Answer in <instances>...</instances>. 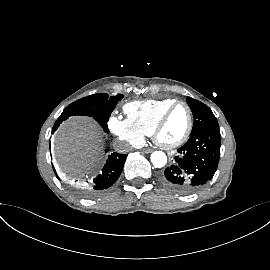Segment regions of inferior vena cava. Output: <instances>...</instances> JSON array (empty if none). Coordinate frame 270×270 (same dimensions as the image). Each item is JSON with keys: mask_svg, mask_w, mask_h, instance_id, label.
<instances>
[{"mask_svg": "<svg viewBox=\"0 0 270 270\" xmlns=\"http://www.w3.org/2000/svg\"><path fill=\"white\" fill-rule=\"evenodd\" d=\"M113 146L119 153H127L131 149L128 143L119 140L115 141Z\"/></svg>", "mask_w": 270, "mask_h": 270, "instance_id": "inferior-vena-cava-1", "label": "inferior vena cava"}]
</instances>
